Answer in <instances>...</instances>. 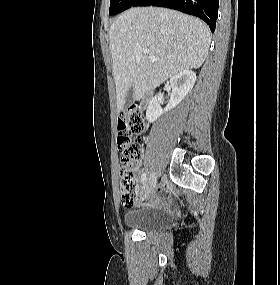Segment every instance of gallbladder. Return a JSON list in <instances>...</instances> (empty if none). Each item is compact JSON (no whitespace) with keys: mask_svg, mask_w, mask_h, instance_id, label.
<instances>
[{"mask_svg":"<svg viewBox=\"0 0 280 285\" xmlns=\"http://www.w3.org/2000/svg\"><path fill=\"white\" fill-rule=\"evenodd\" d=\"M133 101H134V99H133V87H130L126 93L124 108H127L129 105H131L133 103Z\"/></svg>","mask_w":280,"mask_h":285,"instance_id":"bac80fb5","label":"gallbladder"}]
</instances>
